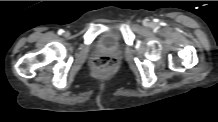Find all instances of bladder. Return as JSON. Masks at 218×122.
I'll list each match as a JSON object with an SVG mask.
<instances>
[{"label":"bladder","mask_w":218,"mask_h":122,"mask_svg":"<svg viewBox=\"0 0 218 122\" xmlns=\"http://www.w3.org/2000/svg\"><path fill=\"white\" fill-rule=\"evenodd\" d=\"M121 44L120 35L116 32H108L101 35L97 40V46L101 49L114 50Z\"/></svg>","instance_id":"1"}]
</instances>
